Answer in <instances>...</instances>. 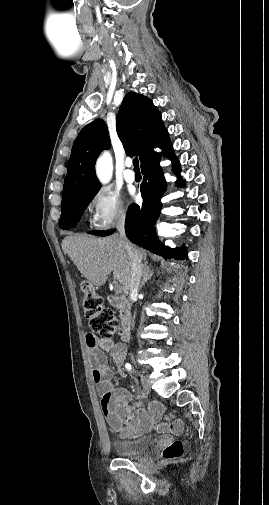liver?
<instances>
[{
  "label": "liver",
  "instance_id": "obj_1",
  "mask_svg": "<svg viewBox=\"0 0 269 505\" xmlns=\"http://www.w3.org/2000/svg\"><path fill=\"white\" fill-rule=\"evenodd\" d=\"M134 248L141 259L146 258V251L138 247ZM62 249L90 284L104 285L108 275L113 272L114 283L119 282L123 292L129 293L131 267L120 236L113 235L105 238L84 235L67 236L62 241Z\"/></svg>",
  "mask_w": 269,
  "mask_h": 505
}]
</instances>
